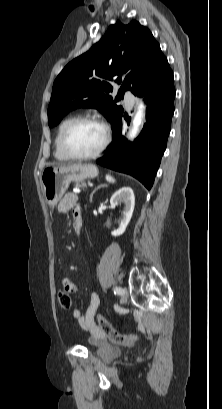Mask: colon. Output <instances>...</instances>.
<instances>
[{
	"mask_svg": "<svg viewBox=\"0 0 222 409\" xmlns=\"http://www.w3.org/2000/svg\"><path fill=\"white\" fill-rule=\"evenodd\" d=\"M58 302L63 309L71 307L70 287H65L64 290L58 292ZM102 330L107 334L109 340L116 344H130L139 339L137 334L122 335L119 334L108 322L106 318L101 315L97 317Z\"/></svg>",
	"mask_w": 222,
	"mask_h": 409,
	"instance_id": "colon-1",
	"label": "colon"
}]
</instances>
